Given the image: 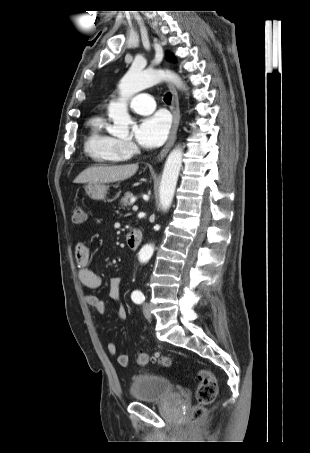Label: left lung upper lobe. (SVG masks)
I'll use <instances>...</instances> for the list:
<instances>
[{
  "mask_svg": "<svg viewBox=\"0 0 310 453\" xmlns=\"http://www.w3.org/2000/svg\"><path fill=\"white\" fill-rule=\"evenodd\" d=\"M166 59H167L168 61H170V62H174V61H175V58L173 57V55H171V54H169V53L166 54Z\"/></svg>",
  "mask_w": 310,
  "mask_h": 453,
  "instance_id": "left-lung-upper-lobe-1",
  "label": "left lung upper lobe"
}]
</instances>
